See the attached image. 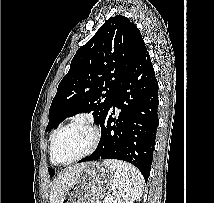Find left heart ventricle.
Segmentation results:
<instances>
[{"instance_id": "1", "label": "left heart ventricle", "mask_w": 214, "mask_h": 203, "mask_svg": "<svg viewBox=\"0 0 214 203\" xmlns=\"http://www.w3.org/2000/svg\"><path fill=\"white\" fill-rule=\"evenodd\" d=\"M92 142V132L84 126L65 129L57 138L54 155L58 162H67L82 154Z\"/></svg>"}]
</instances>
